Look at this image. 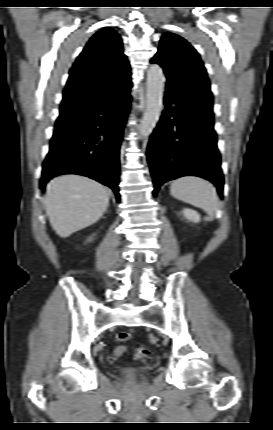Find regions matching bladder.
I'll list each match as a JSON object with an SVG mask.
<instances>
[{
    "instance_id": "1",
    "label": "bladder",
    "mask_w": 273,
    "mask_h": 430,
    "mask_svg": "<svg viewBox=\"0 0 273 430\" xmlns=\"http://www.w3.org/2000/svg\"><path fill=\"white\" fill-rule=\"evenodd\" d=\"M141 368L139 367H125L122 368V373L126 377H135L141 373Z\"/></svg>"
}]
</instances>
